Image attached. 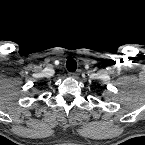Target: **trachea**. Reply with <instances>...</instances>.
<instances>
[{
	"mask_svg": "<svg viewBox=\"0 0 145 145\" xmlns=\"http://www.w3.org/2000/svg\"><path fill=\"white\" fill-rule=\"evenodd\" d=\"M66 67H67L68 71L75 72L76 69H77V63H76V61L73 58H69L66 61Z\"/></svg>",
	"mask_w": 145,
	"mask_h": 145,
	"instance_id": "1",
	"label": "trachea"
}]
</instances>
